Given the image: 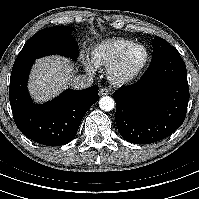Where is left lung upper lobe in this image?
Instances as JSON below:
<instances>
[{
	"mask_svg": "<svg viewBox=\"0 0 199 199\" xmlns=\"http://www.w3.org/2000/svg\"><path fill=\"white\" fill-rule=\"evenodd\" d=\"M152 44L154 49L151 62L163 57L179 54V52L174 47H172L169 43H167L166 40L162 39L161 37L155 36V38L152 40Z\"/></svg>",
	"mask_w": 199,
	"mask_h": 199,
	"instance_id": "left-lung-upper-lobe-1",
	"label": "left lung upper lobe"
}]
</instances>
